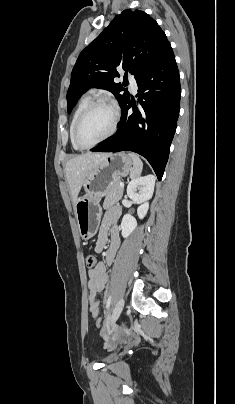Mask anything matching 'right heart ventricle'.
<instances>
[{
	"mask_svg": "<svg viewBox=\"0 0 235 404\" xmlns=\"http://www.w3.org/2000/svg\"><path fill=\"white\" fill-rule=\"evenodd\" d=\"M90 102H91V97H90L89 95L83 96V97L80 99V101L78 102V104H77V106H76V108H75V110H74V112H73L71 121H70V125H69V137H70V142H71V144H72V146H73V148H74L75 150H82V148H80V147L77 146V144L75 143L74 138H73V132H74L75 123H76V120H77L78 116H79L80 113L82 112V110H83Z\"/></svg>",
	"mask_w": 235,
	"mask_h": 404,
	"instance_id": "right-heart-ventricle-1",
	"label": "right heart ventricle"
}]
</instances>
